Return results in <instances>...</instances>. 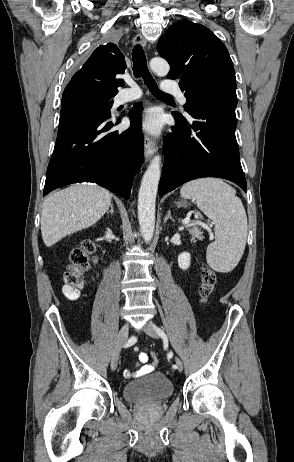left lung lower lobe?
<instances>
[{
	"mask_svg": "<svg viewBox=\"0 0 294 462\" xmlns=\"http://www.w3.org/2000/svg\"><path fill=\"white\" fill-rule=\"evenodd\" d=\"M236 105L231 100L209 101L189 113L191 123L174 115L177 126L165 140L159 196L201 177L224 178L246 192L235 137Z\"/></svg>",
	"mask_w": 294,
	"mask_h": 462,
	"instance_id": "left-lung-lower-lobe-1",
	"label": "left lung lower lobe"
}]
</instances>
